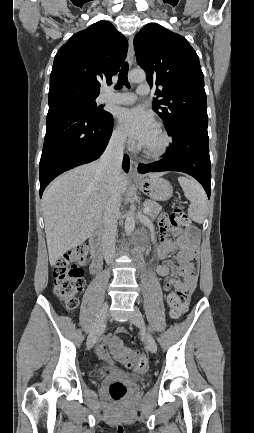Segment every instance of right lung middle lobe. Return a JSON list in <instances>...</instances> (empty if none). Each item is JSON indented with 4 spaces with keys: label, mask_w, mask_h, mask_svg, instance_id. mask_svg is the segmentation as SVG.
<instances>
[{
    "label": "right lung middle lobe",
    "mask_w": 254,
    "mask_h": 433,
    "mask_svg": "<svg viewBox=\"0 0 254 433\" xmlns=\"http://www.w3.org/2000/svg\"><path fill=\"white\" fill-rule=\"evenodd\" d=\"M59 103H65V104L81 107L86 111H88L93 116H103L108 114V112L101 109L102 106H97L95 102V98L94 99H68V100L61 101Z\"/></svg>",
    "instance_id": "1"
}]
</instances>
